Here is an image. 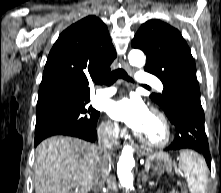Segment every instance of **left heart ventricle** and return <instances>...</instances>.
<instances>
[{
	"label": "left heart ventricle",
	"mask_w": 221,
	"mask_h": 193,
	"mask_svg": "<svg viewBox=\"0 0 221 193\" xmlns=\"http://www.w3.org/2000/svg\"><path fill=\"white\" fill-rule=\"evenodd\" d=\"M138 132H140L153 142H159L164 138L163 125L160 122L159 118L151 112L149 113L146 121Z\"/></svg>",
	"instance_id": "1"
}]
</instances>
